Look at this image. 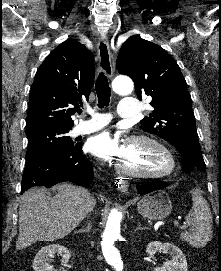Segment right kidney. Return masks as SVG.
<instances>
[{"label": "right kidney", "mask_w": 221, "mask_h": 271, "mask_svg": "<svg viewBox=\"0 0 221 271\" xmlns=\"http://www.w3.org/2000/svg\"><path fill=\"white\" fill-rule=\"evenodd\" d=\"M55 253L62 255L61 269H55V267L51 265V257H54ZM70 257L71 253L68 247H64V245H60V243H50V245H44V247H41V249L37 251L33 259L32 267L34 271H67L65 267Z\"/></svg>", "instance_id": "obj_1"}]
</instances>
